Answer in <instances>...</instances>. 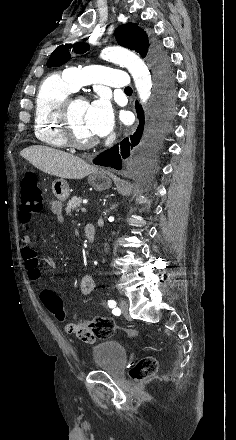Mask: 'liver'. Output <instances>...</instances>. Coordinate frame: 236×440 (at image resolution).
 <instances>
[{"label": "liver", "mask_w": 236, "mask_h": 440, "mask_svg": "<svg viewBox=\"0 0 236 440\" xmlns=\"http://www.w3.org/2000/svg\"><path fill=\"white\" fill-rule=\"evenodd\" d=\"M20 155L44 173L65 179H82L96 169L79 157L46 146L28 147Z\"/></svg>", "instance_id": "obj_1"}]
</instances>
